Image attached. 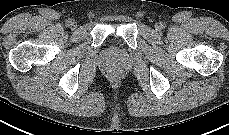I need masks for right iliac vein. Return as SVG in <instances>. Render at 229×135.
<instances>
[{"label":"right iliac vein","mask_w":229,"mask_h":135,"mask_svg":"<svg viewBox=\"0 0 229 135\" xmlns=\"http://www.w3.org/2000/svg\"><path fill=\"white\" fill-rule=\"evenodd\" d=\"M70 27L72 29H75L77 27V23L75 21L71 20Z\"/></svg>","instance_id":"right-iliac-vein-1"}]
</instances>
